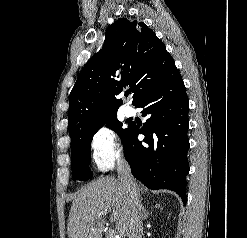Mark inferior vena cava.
Here are the masks:
<instances>
[{
  "label": "inferior vena cava",
  "mask_w": 247,
  "mask_h": 238,
  "mask_svg": "<svg viewBox=\"0 0 247 238\" xmlns=\"http://www.w3.org/2000/svg\"><path fill=\"white\" fill-rule=\"evenodd\" d=\"M118 180L129 195L130 210L128 223V238H141L143 233V215L141 203L136 189V182L131 175L130 166L124 157H120L117 166Z\"/></svg>",
  "instance_id": "obj_1"
}]
</instances>
